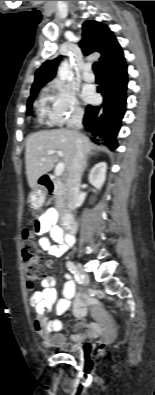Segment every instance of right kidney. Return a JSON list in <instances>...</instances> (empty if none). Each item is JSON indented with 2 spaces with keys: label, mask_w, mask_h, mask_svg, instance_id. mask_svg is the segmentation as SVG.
<instances>
[{
  "label": "right kidney",
  "mask_w": 155,
  "mask_h": 395,
  "mask_svg": "<svg viewBox=\"0 0 155 395\" xmlns=\"http://www.w3.org/2000/svg\"><path fill=\"white\" fill-rule=\"evenodd\" d=\"M107 164L105 162H100L96 164L90 171L88 180L91 185L96 189L100 190L103 186L106 178Z\"/></svg>",
  "instance_id": "obj_1"
}]
</instances>
